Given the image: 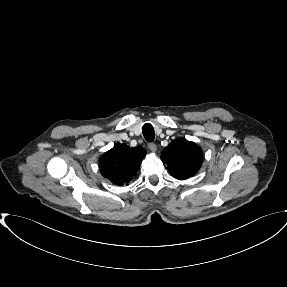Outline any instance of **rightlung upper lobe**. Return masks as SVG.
<instances>
[{"label": "right lung upper lobe", "instance_id": "right-lung-upper-lobe-1", "mask_svg": "<svg viewBox=\"0 0 287 287\" xmlns=\"http://www.w3.org/2000/svg\"><path fill=\"white\" fill-rule=\"evenodd\" d=\"M146 152L142 147L130 148L118 143L100 158L101 174L113 184L123 186L137 173Z\"/></svg>", "mask_w": 287, "mask_h": 287}]
</instances>
